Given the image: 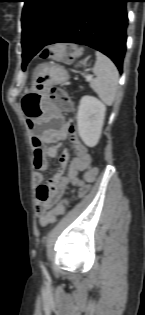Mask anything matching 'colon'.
Segmentation results:
<instances>
[{
    "mask_svg": "<svg viewBox=\"0 0 145 315\" xmlns=\"http://www.w3.org/2000/svg\"><path fill=\"white\" fill-rule=\"evenodd\" d=\"M79 55V48L73 44H61L42 51L41 56L43 58H53L62 60L65 62H71ZM51 100L55 106L62 110L71 109L72 102L68 93L62 89L54 88L51 91ZM68 200H64L57 204L52 210H50L44 219L45 225L51 224L65 212Z\"/></svg>",
    "mask_w": 145,
    "mask_h": 315,
    "instance_id": "1",
    "label": "colon"
}]
</instances>
